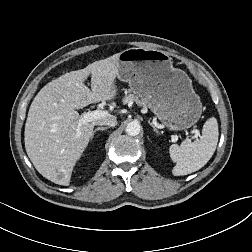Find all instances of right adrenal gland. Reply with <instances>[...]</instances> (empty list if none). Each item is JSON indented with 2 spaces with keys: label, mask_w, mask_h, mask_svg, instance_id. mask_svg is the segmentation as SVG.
Masks as SVG:
<instances>
[{
  "label": "right adrenal gland",
  "mask_w": 252,
  "mask_h": 252,
  "mask_svg": "<svg viewBox=\"0 0 252 252\" xmlns=\"http://www.w3.org/2000/svg\"><path fill=\"white\" fill-rule=\"evenodd\" d=\"M107 129V127H98V128H96L94 131H93V133H92V139L94 138V135H95V133L97 132V131H103V130H106Z\"/></svg>",
  "instance_id": "1"
}]
</instances>
